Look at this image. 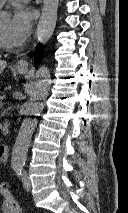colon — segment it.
<instances>
[{
	"instance_id": "colon-1",
	"label": "colon",
	"mask_w": 128,
	"mask_h": 213,
	"mask_svg": "<svg viewBox=\"0 0 128 213\" xmlns=\"http://www.w3.org/2000/svg\"><path fill=\"white\" fill-rule=\"evenodd\" d=\"M0 194L2 195L4 202L9 209L10 213H26L22 210L18 202L15 200L13 195L11 194L9 188L6 184H0Z\"/></svg>"
}]
</instances>
